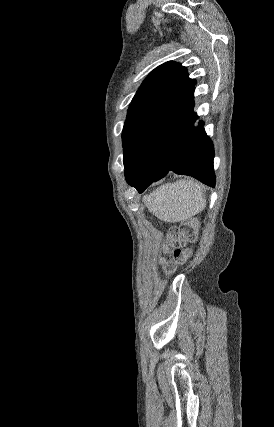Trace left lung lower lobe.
I'll return each instance as SVG.
<instances>
[{
	"mask_svg": "<svg viewBox=\"0 0 274 427\" xmlns=\"http://www.w3.org/2000/svg\"><path fill=\"white\" fill-rule=\"evenodd\" d=\"M193 81L152 125L145 135L136 161L125 174L128 184L142 193L169 171L185 174L214 187V148L203 129L194 128Z\"/></svg>",
	"mask_w": 274,
	"mask_h": 427,
	"instance_id": "1",
	"label": "left lung lower lobe"
}]
</instances>
